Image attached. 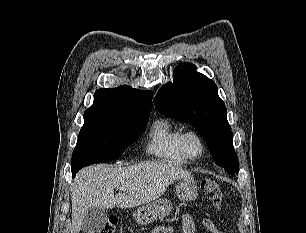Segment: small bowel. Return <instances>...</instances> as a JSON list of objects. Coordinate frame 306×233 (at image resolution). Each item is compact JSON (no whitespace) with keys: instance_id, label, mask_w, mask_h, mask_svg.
I'll return each mask as SVG.
<instances>
[{"instance_id":"1","label":"small bowel","mask_w":306,"mask_h":233,"mask_svg":"<svg viewBox=\"0 0 306 233\" xmlns=\"http://www.w3.org/2000/svg\"><path fill=\"white\" fill-rule=\"evenodd\" d=\"M203 226L209 233H223L220 231L211 219H204ZM155 230H161V233H174L173 227H159ZM182 233H195V222L191 215L186 214L182 218Z\"/></svg>"}]
</instances>
